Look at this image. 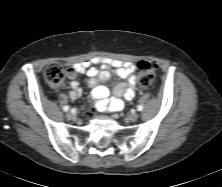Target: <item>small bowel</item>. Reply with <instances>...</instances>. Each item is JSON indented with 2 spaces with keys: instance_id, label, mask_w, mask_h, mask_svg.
Masks as SVG:
<instances>
[{
  "instance_id": "obj_1",
  "label": "small bowel",
  "mask_w": 222,
  "mask_h": 187,
  "mask_svg": "<svg viewBox=\"0 0 222 187\" xmlns=\"http://www.w3.org/2000/svg\"><path fill=\"white\" fill-rule=\"evenodd\" d=\"M93 65H101V68H96ZM111 73L125 80L118 83L112 91L100 84L108 80ZM67 74L71 79L70 99L75 100L81 96L82 89L76 76L77 74H86L89 77L88 85L91 88L92 98L100 110L120 111L124 106V101L133 100L136 94V68L131 62L106 57H93L71 65Z\"/></svg>"
}]
</instances>
